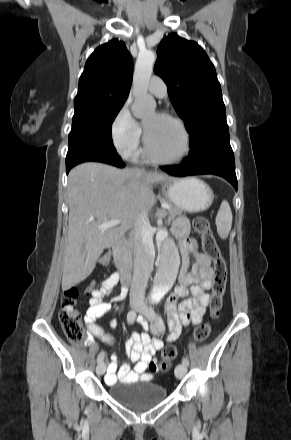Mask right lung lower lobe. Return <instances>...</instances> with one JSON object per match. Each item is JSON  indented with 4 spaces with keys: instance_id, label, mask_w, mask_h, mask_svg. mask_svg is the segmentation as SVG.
<instances>
[{
    "instance_id": "right-lung-lower-lobe-1",
    "label": "right lung lower lobe",
    "mask_w": 291,
    "mask_h": 440,
    "mask_svg": "<svg viewBox=\"0 0 291 440\" xmlns=\"http://www.w3.org/2000/svg\"><path fill=\"white\" fill-rule=\"evenodd\" d=\"M87 161L103 162L120 168L124 167L120 156L115 150H108L99 146L74 145L68 148L66 173L68 174L75 165Z\"/></svg>"
}]
</instances>
